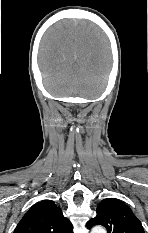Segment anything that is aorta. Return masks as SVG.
I'll list each match as a JSON object with an SVG mask.
<instances>
[{
	"instance_id": "aorta-1",
	"label": "aorta",
	"mask_w": 148,
	"mask_h": 233,
	"mask_svg": "<svg viewBox=\"0 0 148 233\" xmlns=\"http://www.w3.org/2000/svg\"><path fill=\"white\" fill-rule=\"evenodd\" d=\"M91 233H106V230L102 226H95L92 228Z\"/></svg>"
}]
</instances>
